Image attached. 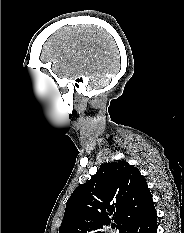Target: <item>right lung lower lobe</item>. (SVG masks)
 Here are the masks:
<instances>
[{"mask_svg":"<svg viewBox=\"0 0 184 233\" xmlns=\"http://www.w3.org/2000/svg\"><path fill=\"white\" fill-rule=\"evenodd\" d=\"M121 233H157V214L154 204L138 219L126 226Z\"/></svg>","mask_w":184,"mask_h":233,"instance_id":"1","label":"right lung lower lobe"}]
</instances>
